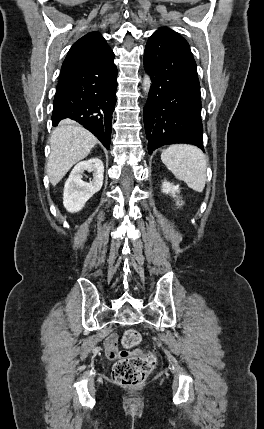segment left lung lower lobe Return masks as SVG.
I'll return each mask as SVG.
<instances>
[{"instance_id": "left-lung-lower-lobe-1", "label": "left lung lower lobe", "mask_w": 264, "mask_h": 429, "mask_svg": "<svg viewBox=\"0 0 264 429\" xmlns=\"http://www.w3.org/2000/svg\"><path fill=\"white\" fill-rule=\"evenodd\" d=\"M144 66L152 80L143 111L149 154L175 143L204 151L200 84L188 42L169 28L157 30L146 44Z\"/></svg>"}]
</instances>
